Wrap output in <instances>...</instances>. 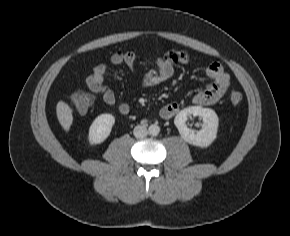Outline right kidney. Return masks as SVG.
<instances>
[{"label":"right kidney","mask_w":290,"mask_h":236,"mask_svg":"<svg viewBox=\"0 0 290 236\" xmlns=\"http://www.w3.org/2000/svg\"><path fill=\"white\" fill-rule=\"evenodd\" d=\"M115 118L112 114L105 113L95 118L89 128L88 140L91 145L102 143L110 135Z\"/></svg>","instance_id":"right-kidney-1"}]
</instances>
